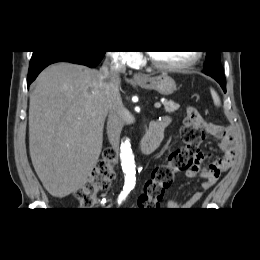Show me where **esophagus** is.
Returning a JSON list of instances; mask_svg holds the SVG:
<instances>
[{
  "label": "esophagus",
  "instance_id": "1",
  "mask_svg": "<svg viewBox=\"0 0 260 260\" xmlns=\"http://www.w3.org/2000/svg\"><path fill=\"white\" fill-rule=\"evenodd\" d=\"M133 78H134L135 80H140V79H143L144 76H143L142 74H140V73H135L134 76H133Z\"/></svg>",
  "mask_w": 260,
  "mask_h": 260
}]
</instances>
